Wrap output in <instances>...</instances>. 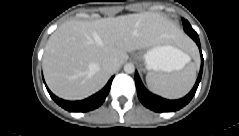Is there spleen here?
I'll return each instance as SVG.
<instances>
[{"label": "spleen", "instance_id": "spleen-1", "mask_svg": "<svg viewBox=\"0 0 239 136\" xmlns=\"http://www.w3.org/2000/svg\"><path fill=\"white\" fill-rule=\"evenodd\" d=\"M190 57L187 56V62ZM182 67V68H183ZM196 80V67L191 65L181 71L172 73L148 72L146 83L149 89L166 98H180L186 95Z\"/></svg>", "mask_w": 239, "mask_h": 136}]
</instances>
